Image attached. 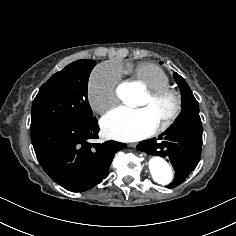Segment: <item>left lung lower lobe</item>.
<instances>
[{"instance_id": "0a47b994", "label": "left lung lower lobe", "mask_w": 236, "mask_h": 236, "mask_svg": "<svg viewBox=\"0 0 236 236\" xmlns=\"http://www.w3.org/2000/svg\"><path fill=\"white\" fill-rule=\"evenodd\" d=\"M202 132L200 124L174 123L158 140L142 141L137 149L166 157L171 162L175 176L167 188H173L180 185L197 166L201 157Z\"/></svg>"}]
</instances>
